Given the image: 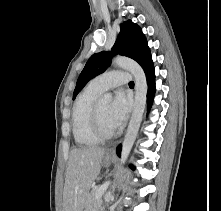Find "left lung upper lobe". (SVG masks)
<instances>
[{
	"mask_svg": "<svg viewBox=\"0 0 221 211\" xmlns=\"http://www.w3.org/2000/svg\"><path fill=\"white\" fill-rule=\"evenodd\" d=\"M114 54L130 57L137 61L141 66L151 58L150 49L141 28L131 20L120 24V33L112 48V52L102 51L93 54L89 58L77 80L73 99H75L77 94L89 80L106 70L111 63Z\"/></svg>",
	"mask_w": 221,
	"mask_h": 211,
	"instance_id": "1",
	"label": "left lung upper lobe"
}]
</instances>
